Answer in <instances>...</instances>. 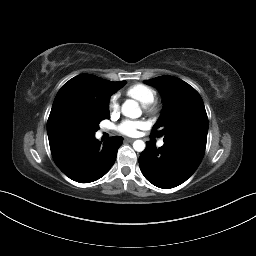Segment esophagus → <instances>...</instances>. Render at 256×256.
I'll list each match as a JSON object with an SVG mask.
<instances>
[{
    "mask_svg": "<svg viewBox=\"0 0 256 256\" xmlns=\"http://www.w3.org/2000/svg\"><path fill=\"white\" fill-rule=\"evenodd\" d=\"M135 139L132 138H125V142H133Z\"/></svg>",
    "mask_w": 256,
    "mask_h": 256,
    "instance_id": "1",
    "label": "esophagus"
}]
</instances>
